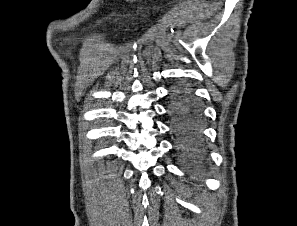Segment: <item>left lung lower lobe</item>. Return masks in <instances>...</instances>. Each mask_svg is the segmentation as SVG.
<instances>
[{
    "instance_id": "left-lung-lower-lobe-1",
    "label": "left lung lower lobe",
    "mask_w": 297,
    "mask_h": 226,
    "mask_svg": "<svg viewBox=\"0 0 297 226\" xmlns=\"http://www.w3.org/2000/svg\"><path fill=\"white\" fill-rule=\"evenodd\" d=\"M168 112L181 160L190 170L200 168L205 160L201 142L202 111L191 90L185 86L173 89Z\"/></svg>"
}]
</instances>
